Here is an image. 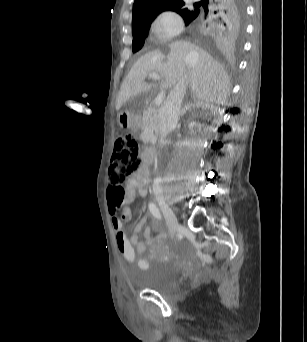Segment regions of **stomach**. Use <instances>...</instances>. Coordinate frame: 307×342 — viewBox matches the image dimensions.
<instances>
[{"label":"stomach","instance_id":"1","mask_svg":"<svg viewBox=\"0 0 307 342\" xmlns=\"http://www.w3.org/2000/svg\"><path fill=\"white\" fill-rule=\"evenodd\" d=\"M118 121L122 127L129 128L131 126V117L127 113H124V112L119 113Z\"/></svg>","mask_w":307,"mask_h":342}]
</instances>
